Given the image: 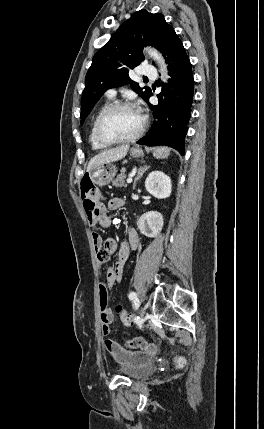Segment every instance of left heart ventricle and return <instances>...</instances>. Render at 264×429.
<instances>
[{"label": "left heart ventricle", "mask_w": 264, "mask_h": 429, "mask_svg": "<svg viewBox=\"0 0 264 429\" xmlns=\"http://www.w3.org/2000/svg\"><path fill=\"white\" fill-rule=\"evenodd\" d=\"M140 122V115L135 109H120L104 121L102 134L110 140L127 138L137 131Z\"/></svg>", "instance_id": "b2bd125f"}]
</instances>
